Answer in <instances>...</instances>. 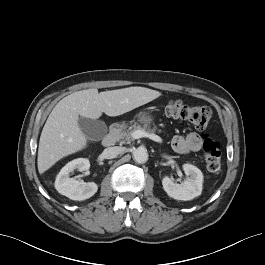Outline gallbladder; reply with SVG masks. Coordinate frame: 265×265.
<instances>
[{"mask_svg": "<svg viewBox=\"0 0 265 265\" xmlns=\"http://www.w3.org/2000/svg\"><path fill=\"white\" fill-rule=\"evenodd\" d=\"M78 124L86 138L90 140L102 139L107 133V126L103 121L80 117Z\"/></svg>", "mask_w": 265, "mask_h": 265, "instance_id": "gallbladder-1", "label": "gallbladder"}]
</instances>
